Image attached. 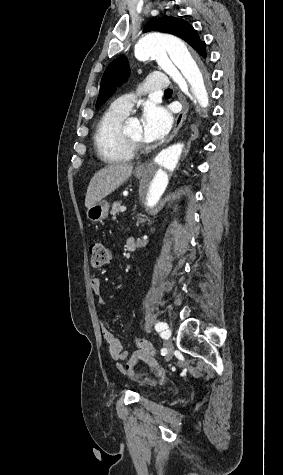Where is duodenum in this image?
I'll return each mask as SVG.
<instances>
[{"label":"duodenum","instance_id":"obj_1","mask_svg":"<svg viewBox=\"0 0 283 475\" xmlns=\"http://www.w3.org/2000/svg\"><path fill=\"white\" fill-rule=\"evenodd\" d=\"M126 247L128 249V251L130 252H133L136 250L137 248V242H136V239L135 238H129L126 242Z\"/></svg>","mask_w":283,"mask_h":475}]
</instances>
